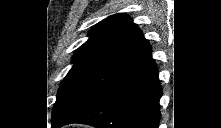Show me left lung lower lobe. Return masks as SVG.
<instances>
[{
  "instance_id": "0a47b994",
  "label": "left lung lower lobe",
  "mask_w": 221,
  "mask_h": 128,
  "mask_svg": "<svg viewBox=\"0 0 221 128\" xmlns=\"http://www.w3.org/2000/svg\"><path fill=\"white\" fill-rule=\"evenodd\" d=\"M161 95L158 70L150 52L99 99L63 125L82 123L96 128H158Z\"/></svg>"
}]
</instances>
